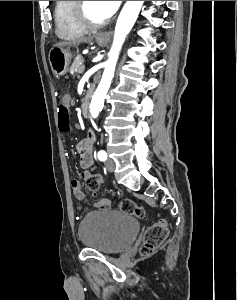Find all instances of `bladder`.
<instances>
[{
    "label": "bladder",
    "mask_w": 237,
    "mask_h": 300,
    "mask_svg": "<svg viewBox=\"0 0 237 300\" xmlns=\"http://www.w3.org/2000/svg\"><path fill=\"white\" fill-rule=\"evenodd\" d=\"M139 222L119 211L88 213L78 227L81 244L103 254H115L127 249L136 239Z\"/></svg>",
    "instance_id": "31cf9c89"
}]
</instances>
